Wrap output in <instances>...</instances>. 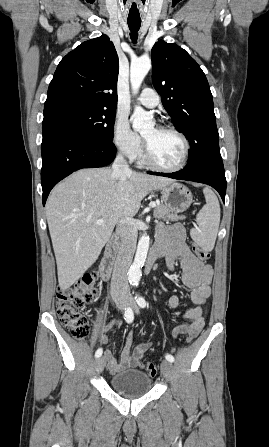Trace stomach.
Masks as SVG:
<instances>
[{
	"instance_id": "1",
	"label": "stomach",
	"mask_w": 269,
	"mask_h": 447,
	"mask_svg": "<svg viewBox=\"0 0 269 447\" xmlns=\"http://www.w3.org/2000/svg\"><path fill=\"white\" fill-rule=\"evenodd\" d=\"M160 190H162L161 200L163 204H165L168 210L175 212V214L185 212L192 204V192L185 186H181V184H169V186L160 188Z\"/></svg>"
}]
</instances>
